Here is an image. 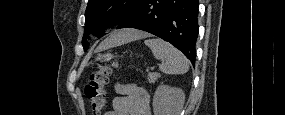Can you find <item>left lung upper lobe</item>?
<instances>
[{
  "mask_svg": "<svg viewBox=\"0 0 285 115\" xmlns=\"http://www.w3.org/2000/svg\"><path fill=\"white\" fill-rule=\"evenodd\" d=\"M138 0H89L85 12V28L82 45L84 51L89 47L86 38L90 33L102 36L104 26L118 24Z\"/></svg>",
  "mask_w": 285,
  "mask_h": 115,
  "instance_id": "left-lung-upper-lobe-1",
  "label": "left lung upper lobe"
}]
</instances>
